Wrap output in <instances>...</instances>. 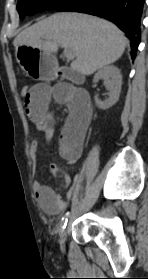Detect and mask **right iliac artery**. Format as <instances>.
I'll return each mask as SVG.
<instances>
[{
  "mask_svg": "<svg viewBox=\"0 0 148 279\" xmlns=\"http://www.w3.org/2000/svg\"><path fill=\"white\" fill-rule=\"evenodd\" d=\"M68 216H69V212H67V213L62 217V220H61V223H60V227H61V230H62V231L66 228V225H67V222H68Z\"/></svg>",
  "mask_w": 148,
  "mask_h": 279,
  "instance_id": "1",
  "label": "right iliac artery"
}]
</instances>
